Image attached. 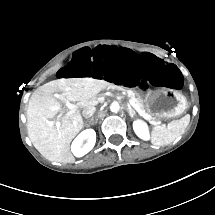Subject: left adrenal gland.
Returning <instances> with one entry per match:
<instances>
[{"mask_svg": "<svg viewBox=\"0 0 215 215\" xmlns=\"http://www.w3.org/2000/svg\"><path fill=\"white\" fill-rule=\"evenodd\" d=\"M127 111L131 118H134L137 115L136 112L133 109H130L129 107H128Z\"/></svg>", "mask_w": 215, "mask_h": 215, "instance_id": "obj_1", "label": "left adrenal gland"}]
</instances>
